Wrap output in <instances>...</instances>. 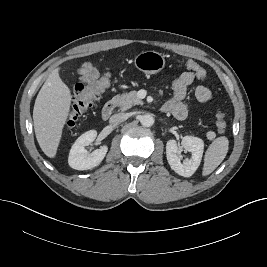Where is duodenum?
Returning a JSON list of instances; mask_svg holds the SVG:
<instances>
[{
  "instance_id": "duodenum-1",
  "label": "duodenum",
  "mask_w": 267,
  "mask_h": 267,
  "mask_svg": "<svg viewBox=\"0 0 267 267\" xmlns=\"http://www.w3.org/2000/svg\"><path fill=\"white\" fill-rule=\"evenodd\" d=\"M115 106L116 105H115L114 101H108V102L105 103V105L102 108V117H103V119L107 120L112 116V114H113V112L115 110Z\"/></svg>"
}]
</instances>
